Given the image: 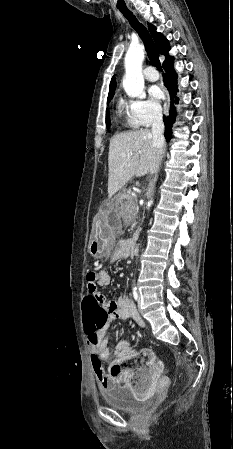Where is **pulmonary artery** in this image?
<instances>
[{"label": "pulmonary artery", "mask_w": 233, "mask_h": 449, "mask_svg": "<svg viewBox=\"0 0 233 449\" xmlns=\"http://www.w3.org/2000/svg\"><path fill=\"white\" fill-rule=\"evenodd\" d=\"M144 77L146 80L154 82L159 79V74L154 67L149 66L144 69Z\"/></svg>", "instance_id": "pulmonary-artery-1"}]
</instances>
